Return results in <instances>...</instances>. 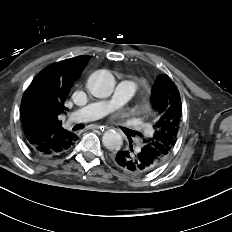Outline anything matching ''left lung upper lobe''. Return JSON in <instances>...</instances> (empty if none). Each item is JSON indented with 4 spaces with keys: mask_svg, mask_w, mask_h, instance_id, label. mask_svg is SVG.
Segmentation results:
<instances>
[{
    "mask_svg": "<svg viewBox=\"0 0 232 232\" xmlns=\"http://www.w3.org/2000/svg\"><path fill=\"white\" fill-rule=\"evenodd\" d=\"M151 103L157 115L154 131L149 136L138 135L142 138V149L163 162L177 141L182 117L180 93L167 75L157 77Z\"/></svg>",
    "mask_w": 232,
    "mask_h": 232,
    "instance_id": "5c2ea615",
    "label": "left lung upper lobe"
}]
</instances>
